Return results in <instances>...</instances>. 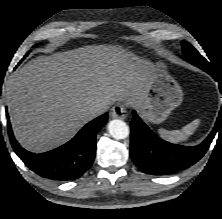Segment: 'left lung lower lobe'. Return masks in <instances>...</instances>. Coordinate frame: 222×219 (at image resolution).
Here are the masks:
<instances>
[{
	"mask_svg": "<svg viewBox=\"0 0 222 219\" xmlns=\"http://www.w3.org/2000/svg\"><path fill=\"white\" fill-rule=\"evenodd\" d=\"M188 62L206 71L215 79L210 64L205 66V64ZM221 114L222 110L212 132L201 144L187 147L171 144L159 138L134 111V118L130 123L132 161L141 171L151 175H167L190 167L206 153L218 127H222Z\"/></svg>",
	"mask_w": 222,
	"mask_h": 219,
	"instance_id": "left-lung-lower-lobe-1",
	"label": "left lung lower lobe"
}]
</instances>
